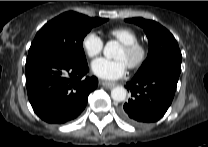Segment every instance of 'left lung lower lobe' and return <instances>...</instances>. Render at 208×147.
Returning <instances> with one entry per match:
<instances>
[{"mask_svg":"<svg viewBox=\"0 0 208 147\" xmlns=\"http://www.w3.org/2000/svg\"><path fill=\"white\" fill-rule=\"evenodd\" d=\"M178 73L168 68L153 70L127 83L131 98L120 109V117L137 126L156 122L163 117L172 103Z\"/></svg>","mask_w":208,"mask_h":147,"instance_id":"obj_1","label":"left lung lower lobe"}]
</instances>
